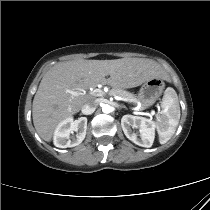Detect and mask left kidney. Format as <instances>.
Returning <instances> with one entry per match:
<instances>
[{
	"instance_id": "obj_1",
	"label": "left kidney",
	"mask_w": 210,
	"mask_h": 210,
	"mask_svg": "<svg viewBox=\"0 0 210 210\" xmlns=\"http://www.w3.org/2000/svg\"><path fill=\"white\" fill-rule=\"evenodd\" d=\"M121 126L126 137L136 145L146 148L152 146L155 138V123L152 120L139 116L124 115L121 119ZM131 127L139 129L140 139L137 138Z\"/></svg>"
}]
</instances>
